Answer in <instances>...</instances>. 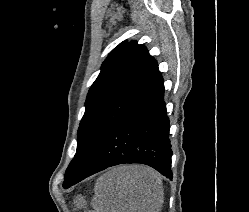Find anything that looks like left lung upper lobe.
I'll return each mask as SVG.
<instances>
[{
	"instance_id": "5c2ea615",
	"label": "left lung upper lobe",
	"mask_w": 249,
	"mask_h": 212,
	"mask_svg": "<svg viewBox=\"0 0 249 212\" xmlns=\"http://www.w3.org/2000/svg\"><path fill=\"white\" fill-rule=\"evenodd\" d=\"M158 72L156 60L136 41L123 42L108 55L87 94L77 151L65 172L63 187L81 176L116 121Z\"/></svg>"
}]
</instances>
